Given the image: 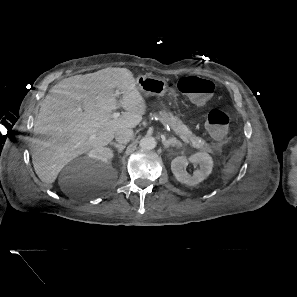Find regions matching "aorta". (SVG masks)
<instances>
[{
	"label": "aorta",
	"mask_w": 297,
	"mask_h": 297,
	"mask_svg": "<svg viewBox=\"0 0 297 297\" xmlns=\"http://www.w3.org/2000/svg\"><path fill=\"white\" fill-rule=\"evenodd\" d=\"M156 145H157V142L153 136H144L139 141V146L143 150H152L156 147Z\"/></svg>",
	"instance_id": "762f6f07"
}]
</instances>
